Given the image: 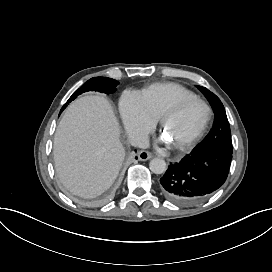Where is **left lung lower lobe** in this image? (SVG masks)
Instances as JSON below:
<instances>
[{"mask_svg":"<svg viewBox=\"0 0 272 272\" xmlns=\"http://www.w3.org/2000/svg\"><path fill=\"white\" fill-rule=\"evenodd\" d=\"M232 153L221 150L191 152L179 163L171 164L160 179V189L170 201L179 205L197 203L225 182Z\"/></svg>","mask_w":272,"mask_h":272,"instance_id":"left-lung-lower-lobe-1","label":"left lung lower lobe"}]
</instances>
